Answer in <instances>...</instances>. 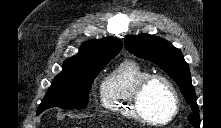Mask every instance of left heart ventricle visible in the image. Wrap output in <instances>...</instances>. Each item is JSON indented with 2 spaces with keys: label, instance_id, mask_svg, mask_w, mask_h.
<instances>
[{
  "label": "left heart ventricle",
  "instance_id": "b2bd125f",
  "mask_svg": "<svg viewBox=\"0 0 221 128\" xmlns=\"http://www.w3.org/2000/svg\"><path fill=\"white\" fill-rule=\"evenodd\" d=\"M141 105L146 114L154 121L165 120L172 111V104L167 87L161 81L151 82L144 90Z\"/></svg>",
  "mask_w": 221,
  "mask_h": 128
}]
</instances>
